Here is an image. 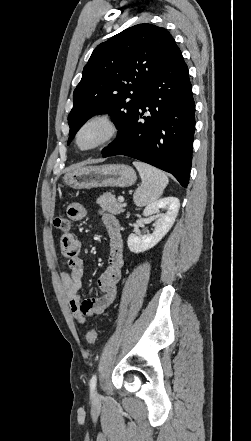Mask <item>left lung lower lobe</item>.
Instances as JSON below:
<instances>
[{
	"label": "left lung lower lobe",
	"mask_w": 251,
	"mask_h": 441,
	"mask_svg": "<svg viewBox=\"0 0 251 441\" xmlns=\"http://www.w3.org/2000/svg\"><path fill=\"white\" fill-rule=\"evenodd\" d=\"M146 97L102 157L126 155L189 182L195 103L189 72L178 46L146 87ZM147 114V115H145Z\"/></svg>",
	"instance_id": "0a47b994"
}]
</instances>
